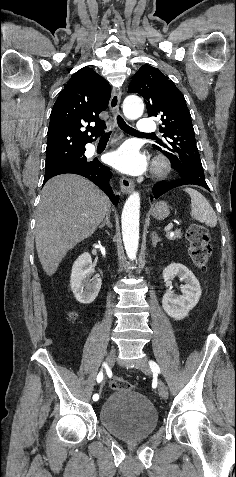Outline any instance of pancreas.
<instances>
[{
    "instance_id": "1",
    "label": "pancreas",
    "mask_w": 236,
    "mask_h": 477,
    "mask_svg": "<svg viewBox=\"0 0 236 477\" xmlns=\"http://www.w3.org/2000/svg\"><path fill=\"white\" fill-rule=\"evenodd\" d=\"M166 237L169 240L181 239L182 238V232H181V230H177L174 234L167 233Z\"/></svg>"
}]
</instances>
